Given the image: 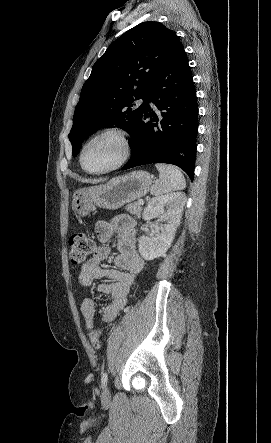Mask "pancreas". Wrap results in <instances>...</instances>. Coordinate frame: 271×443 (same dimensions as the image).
<instances>
[{"label":"pancreas","instance_id":"1","mask_svg":"<svg viewBox=\"0 0 271 443\" xmlns=\"http://www.w3.org/2000/svg\"><path fill=\"white\" fill-rule=\"evenodd\" d=\"M125 210L129 212V214H133V216H137V218H141L142 208L138 202H134V204H127Z\"/></svg>","mask_w":271,"mask_h":443}]
</instances>
